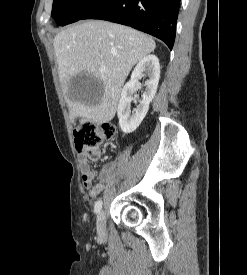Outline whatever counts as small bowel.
Instances as JSON below:
<instances>
[{"mask_svg": "<svg viewBox=\"0 0 247 275\" xmlns=\"http://www.w3.org/2000/svg\"><path fill=\"white\" fill-rule=\"evenodd\" d=\"M88 155L87 153L83 152L80 155V165H81V172H82V183L84 188L87 190L88 194L91 197H97L99 194L102 193L104 189V183L108 182L114 171L117 168L118 161L114 160L108 162L103 166L101 171L99 172V183L94 184L93 180L96 176V171L92 168L88 162Z\"/></svg>", "mask_w": 247, "mask_h": 275, "instance_id": "1", "label": "small bowel"}]
</instances>
